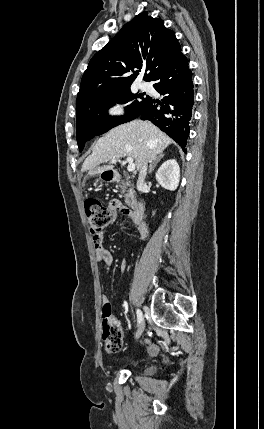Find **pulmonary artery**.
I'll return each mask as SVG.
<instances>
[{"instance_id":"pulmonary-artery-1","label":"pulmonary artery","mask_w":264,"mask_h":429,"mask_svg":"<svg viewBox=\"0 0 264 429\" xmlns=\"http://www.w3.org/2000/svg\"><path fill=\"white\" fill-rule=\"evenodd\" d=\"M139 86L142 90H146L148 88V84L146 82H141Z\"/></svg>"}]
</instances>
